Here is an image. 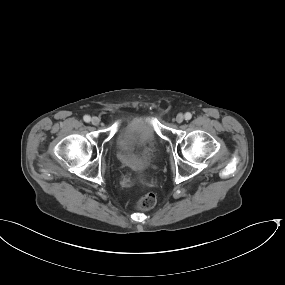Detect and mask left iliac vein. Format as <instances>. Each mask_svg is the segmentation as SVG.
I'll list each match as a JSON object with an SVG mask.
<instances>
[{"label": "left iliac vein", "instance_id": "left-iliac-vein-1", "mask_svg": "<svg viewBox=\"0 0 285 285\" xmlns=\"http://www.w3.org/2000/svg\"><path fill=\"white\" fill-rule=\"evenodd\" d=\"M176 122L177 123H182L183 122V120H184V115L183 114H178L177 116H176Z\"/></svg>", "mask_w": 285, "mask_h": 285}]
</instances>
